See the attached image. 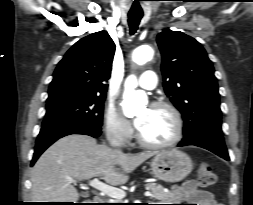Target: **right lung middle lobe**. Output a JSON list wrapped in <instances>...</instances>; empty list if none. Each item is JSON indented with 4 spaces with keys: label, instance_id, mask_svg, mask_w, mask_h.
<instances>
[{
    "label": "right lung middle lobe",
    "instance_id": "1",
    "mask_svg": "<svg viewBox=\"0 0 253 205\" xmlns=\"http://www.w3.org/2000/svg\"><path fill=\"white\" fill-rule=\"evenodd\" d=\"M105 96L73 95L47 101L42 127L81 125L101 128Z\"/></svg>",
    "mask_w": 253,
    "mask_h": 205
}]
</instances>
